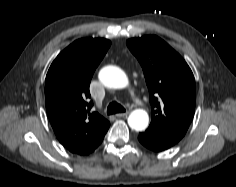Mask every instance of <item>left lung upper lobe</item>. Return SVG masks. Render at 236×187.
<instances>
[{
    "instance_id": "obj_1",
    "label": "left lung upper lobe",
    "mask_w": 236,
    "mask_h": 187,
    "mask_svg": "<svg viewBox=\"0 0 236 187\" xmlns=\"http://www.w3.org/2000/svg\"><path fill=\"white\" fill-rule=\"evenodd\" d=\"M127 46L141 64L150 92L152 120L145 133L177 143L195 111L196 88L191 69L157 36L129 39Z\"/></svg>"
}]
</instances>
